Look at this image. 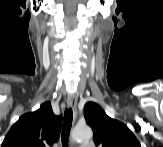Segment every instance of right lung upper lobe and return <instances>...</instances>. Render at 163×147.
<instances>
[{
  "label": "right lung upper lobe",
  "mask_w": 163,
  "mask_h": 147,
  "mask_svg": "<svg viewBox=\"0 0 163 147\" xmlns=\"http://www.w3.org/2000/svg\"><path fill=\"white\" fill-rule=\"evenodd\" d=\"M62 117L53 113L50 102L22 115L5 136L2 147H46L60 134Z\"/></svg>",
  "instance_id": "1"
}]
</instances>
